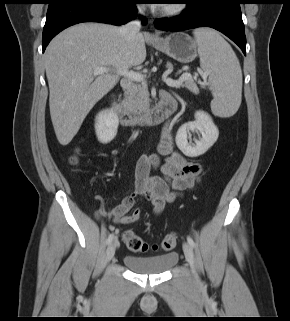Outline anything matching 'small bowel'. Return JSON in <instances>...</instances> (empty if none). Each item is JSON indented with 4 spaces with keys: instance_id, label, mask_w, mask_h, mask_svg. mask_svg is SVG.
I'll use <instances>...</instances> for the list:
<instances>
[{
    "instance_id": "small-bowel-1",
    "label": "small bowel",
    "mask_w": 290,
    "mask_h": 321,
    "mask_svg": "<svg viewBox=\"0 0 290 321\" xmlns=\"http://www.w3.org/2000/svg\"><path fill=\"white\" fill-rule=\"evenodd\" d=\"M168 93L163 92L162 96ZM159 170L161 176L150 175L151 170ZM202 166L188 160L174 150V130L171 123L166 124L158 142L157 152L140 156L135 168V186L132 193L125 196L112 210L98 209L96 218L112 217L127 221V213L136 197L146 198L159 215L165 204L173 201L180 192L190 190L199 182Z\"/></svg>"
}]
</instances>
